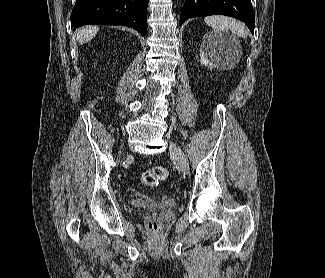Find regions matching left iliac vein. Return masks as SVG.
Wrapping results in <instances>:
<instances>
[{
  "instance_id": "4c4485c4",
  "label": "left iliac vein",
  "mask_w": 325,
  "mask_h": 278,
  "mask_svg": "<svg viewBox=\"0 0 325 278\" xmlns=\"http://www.w3.org/2000/svg\"><path fill=\"white\" fill-rule=\"evenodd\" d=\"M169 152L171 156L177 161L182 173L187 174L189 171V162L182 150L171 142L169 146Z\"/></svg>"
}]
</instances>
